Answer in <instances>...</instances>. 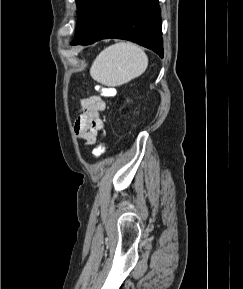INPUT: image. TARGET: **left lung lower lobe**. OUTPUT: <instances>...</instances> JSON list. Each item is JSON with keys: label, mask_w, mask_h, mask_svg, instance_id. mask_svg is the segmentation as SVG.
Instances as JSON below:
<instances>
[{"label": "left lung lower lobe", "mask_w": 243, "mask_h": 289, "mask_svg": "<svg viewBox=\"0 0 243 289\" xmlns=\"http://www.w3.org/2000/svg\"><path fill=\"white\" fill-rule=\"evenodd\" d=\"M105 38L136 42L163 58L158 0H89L80 12L72 45Z\"/></svg>", "instance_id": "left-lung-lower-lobe-1"}]
</instances>
